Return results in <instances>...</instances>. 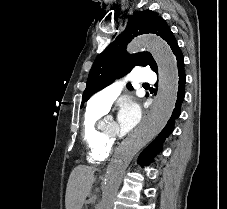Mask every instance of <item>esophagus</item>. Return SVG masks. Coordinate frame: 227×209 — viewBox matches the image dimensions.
I'll use <instances>...</instances> for the list:
<instances>
[{"mask_svg": "<svg viewBox=\"0 0 227 209\" xmlns=\"http://www.w3.org/2000/svg\"><path fill=\"white\" fill-rule=\"evenodd\" d=\"M151 116H153V108H146V112L144 113V120L142 121L151 120ZM100 176H103V173H100Z\"/></svg>", "mask_w": 227, "mask_h": 209, "instance_id": "obj_1", "label": "esophagus"}]
</instances>
